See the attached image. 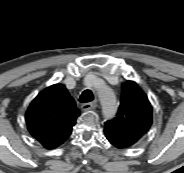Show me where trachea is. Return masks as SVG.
Masks as SVG:
<instances>
[{"mask_svg":"<svg viewBox=\"0 0 184 173\" xmlns=\"http://www.w3.org/2000/svg\"><path fill=\"white\" fill-rule=\"evenodd\" d=\"M94 99L93 93L90 90H85L82 92L79 101L81 103L91 102Z\"/></svg>","mask_w":184,"mask_h":173,"instance_id":"obj_1","label":"trachea"}]
</instances>
